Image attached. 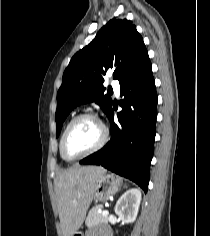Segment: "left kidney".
<instances>
[{"instance_id": "left-kidney-1", "label": "left kidney", "mask_w": 210, "mask_h": 236, "mask_svg": "<svg viewBox=\"0 0 210 236\" xmlns=\"http://www.w3.org/2000/svg\"><path fill=\"white\" fill-rule=\"evenodd\" d=\"M141 191L137 188L127 190L117 201L115 213L125 223L135 221L141 202Z\"/></svg>"}]
</instances>
